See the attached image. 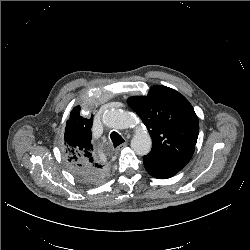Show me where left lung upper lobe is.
I'll use <instances>...</instances> for the list:
<instances>
[{
	"label": "left lung upper lobe",
	"instance_id": "1",
	"mask_svg": "<svg viewBox=\"0 0 250 250\" xmlns=\"http://www.w3.org/2000/svg\"><path fill=\"white\" fill-rule=\"evenodd\" d=\"M128 104L152 138V150L143 159L160 167L183 169L199 133L198 117L189 101L174 89L156 85L147 96L129 98Z\"/></svg>",
	"mask_w": 250,
	"mask_h": 250
}]
</instances>
